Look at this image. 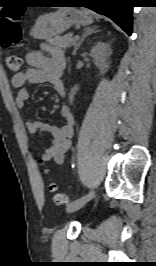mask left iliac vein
<instances>
[{"label": "left iliac vein", "mask_w": 156, "mask_h": 266, "mask_svg": "<svg viewBox=\"0 0 156 266\" xmlns=\"http://www.w3.org/2000/svg\"><path fill=\"white\" fill-rule=\"evenodd\" d=\"M92 198H89L88 200H85L84 197L75 200L73 202H71L70 204H68L67 206V211L68 212H74L79 210L81 207H83L87 202H89Z\"/></svg>", "instance_id": "left-iliac-vein-1"}]
</instances>
